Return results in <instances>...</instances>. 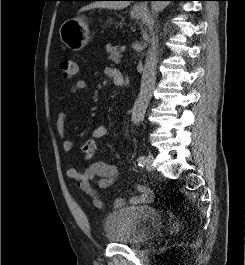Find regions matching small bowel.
<instances>
[{
  "mask_svg": "<svg viewBox=\"0 0 245 265\" xmlns=\"http://www.w3.org/2000/svg\"><path fill=\"white\" fill-rule=\"evenodd\" d=\"M105 74L112 78L114 81L122 73L112 67L105 69ZM88 90V84L84 80H78L72 86V92L74 94ZM66 112L62 111L58 114L56 120V130L58 135L62 138V148L64 151H70L73 147L71 140L65 137V123ZM109 134V129L106 125H98L92 130V140L102 139ZM67 176L73 179L77 183L78 189L85 195L89 196L95 207L103 209L106 207L105 203L100 199L97 190L94 185L100 189H106L111 187L120 177V172L114 164L106 163L104 161H94L89 164L83 170H78L74 167H70L66 171ZM138 195L132 197L130 202L133 204H146L154 200V195L148 187L144 185H136ZM126 204L123 198H116L112 203L113 209L122 208Z\"/></svg>",
  "mask_w": 245,
  "mask_h": 265,
  "instance_id": "1",
  "label": "small bowel"
}]
</instances>
